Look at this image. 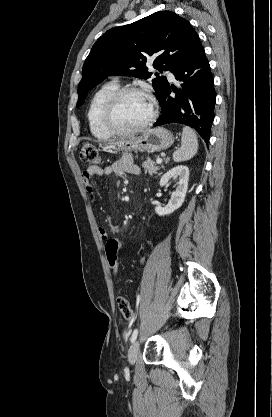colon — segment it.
<instances>
[{
	"mask_svg": "<svg viewBox=\"0 0 272 417\" xmlns=\"http://www.w3.org/2000/svg\"><path fill=\"white\" fill-rule=\"evenodd\" d=\"M80 159L88 164H96L100 160L99 151L92 143L85 142L82 144L80 149ZM124 246L125 241L117 238L109 239L105 243L107 261L114 275L118 272V252ZM118 306L125 319L132 320L135 318V311L125 296L118 297Z\"/></svg>",
	"mask_w": 272,
	"mask_h": 417,
	"instance_id": "5ec220e1",
	"label": "colon"
}]
</instances>
